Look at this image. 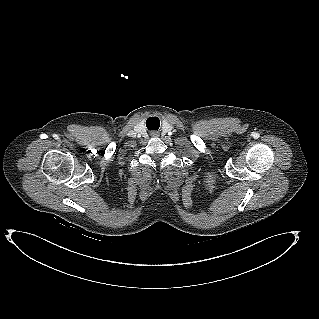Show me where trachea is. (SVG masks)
Here are the masks:
<instances>
[{
	"mask_svg": "<svg viewBox=\"0 0 319 319\" xmlns=\"http://www.w3.org/2000/svg\"><path fill=\"white\" fill-rule=\"evenodd\" d=\"M158 121H159V119L156 118V117H151V118L148 119V123L152 122L151 124L153 126H154V124H155V126H158ZM159 125H160V121H159Z\"/></svg>",
	"mask_w": 319,
	"mask_h": 319,
	"instance_id": "3493384b",
	"label": "trachea"
}]
</instances>
